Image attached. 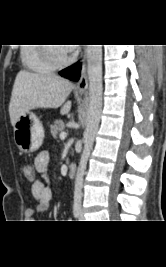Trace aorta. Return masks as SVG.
Segmentation results:
<instances>
[{
    "label": "aorta",
    "instance_id": "obj_1",
    "mask_svg": "<svg viewBox=\"0 0 166 267\" xmlns=\"http://www.w3.org/2000/svg\"><path fill=\"white\" fill-rule=\"evenodd\" d=\"M87 72L89 77V107L87 110V126L84 132V149L77 169L74 187V200H81L83 176L88 158L93 148L98 131L102 110V45H88Z\"/></svg>",
    "mask_w": 166,
    "mask_h": 267
}]
</instances>
